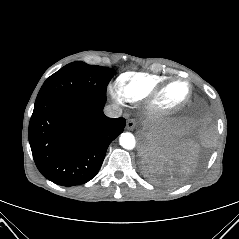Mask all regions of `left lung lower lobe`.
Returning a JSON list of instances; mask_svg holds the SVG:
<instances>
[{"label": "left lung lower lobe", "instance_id": "0a47b994", "mask_svg": "<svg viewBox=\"0 0 239 239\" xmlns=\"http://www.w3.org/2000/svg\"><path fill=\"white\" fill-rule=\"evenodd\" d=\"M210 125L207 111L196 103L173 126L147 138L142 146L146 177L166 186L186 181L206 159Z\"/></svg>", "mask_w": 239, "mask_h": 239}]
</instances>
